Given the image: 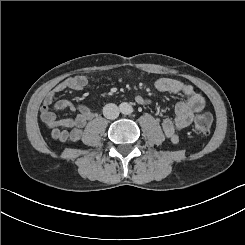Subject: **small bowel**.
<instances>
[{
	"label": "small bowel",
	"instance_id": "c3829d8e",
	"mask_svg": "<svg viewBox=\"0 0 245 245\" xmlns=\"http://www.w3.org/2000/svg\"><path fill=\"white\" fill-rule=\"evenodd\" d=\"M88 82L89 79L86 76H72L57 84L45 95L40 109V117L42 122L51 130L54 139L62 142L80 140L82 128L94 117V113L82 104H73L68 100H55L59 93L67 89L76 91L85 89ZM154 87L160 92L180 94L186 98L177 103L174 119L166 118L162 121L164 135L176 144L179 142L180 132L188 127L192 123L194 115L204 108L205 99L191 85L173 78H159L155 81ZM135 100L140 105L150 103L148 98L140 95L136 96ZM64 109H70L77 115L72 118H57L54 110Z\"/></svg>",
	"mask_w": 245,
	"mask_h": 245
}]
</instances>
